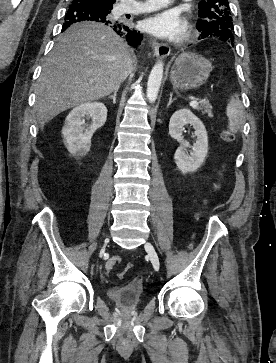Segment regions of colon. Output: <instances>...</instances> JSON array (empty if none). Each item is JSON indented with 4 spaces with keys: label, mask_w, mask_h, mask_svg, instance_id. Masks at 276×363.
Listing matches in <instances>:
<instances>
[{
    "label": "colon",
    "mask_w": 276,
    "mask_h": 363,
    "mask_svg": "<svg viewBox=\"0 0 276 363\" xmlns=\"http://www.w3.org/2000/svg\"><path fill=\"white\" fill-rule=\"evenodd\" d=\"M233 133L227 129L225 130L223 133H222V139L225 141V142H231L233 140ZM190 248H192V245H190ZM131 264H128L126 269L129 270L131 268ZM133 283L135 285H139L140 284V280L139 279H136L133 281Z\"/></svg>",
    "instance_id": "5ec220e1"
}]
</instances>
